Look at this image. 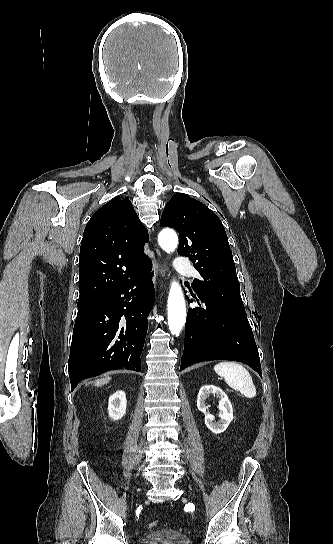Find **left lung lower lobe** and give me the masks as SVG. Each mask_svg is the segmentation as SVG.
<instances>
[{"label": "left lung lower lobe", "mask_w": 333, "mask_h": 544, "mask_svg": "<svg viewBox=\"0 0 333 544\" xmlns=\"http://www.w3.org/2000/svg\"><path fill=\"white\" fill-rule=\"evenodd\" d=\"M192 296L200 307L188 310L180 371L202 361L232 360L249 365L262 377L248 320L195 294Z\"/></svg>", "instance_id": "left-lung-lower-lobe-1"}]
</instances>
